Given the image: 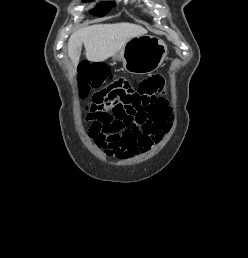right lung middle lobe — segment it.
Listing matches in <instances>:
<instances>
[{"label":"right lung middle lobe","instance_id":"right-lung-middle-lobe-1","mask_svg":"<svg viewBox=\"0 0 248 258\" xmlns=\"http://www.w3.org/2000/svg\"><path fill=\"white\" fill-rule=\"evenodd\" d=\"M89 1V0H87ZM115 5L114 2H106V3H103L101 5H98L94 10H92L91 12L100 16V17H103L105 14H107L110 9Z\"/></svg>","mask_w":248,"mask_h":258}]
</instances>
